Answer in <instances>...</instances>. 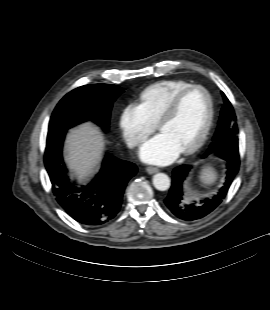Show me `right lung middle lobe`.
Wrapping results in <instances>:
<instances>
[{
  "label": "right lung middle lobe",
  "mask_w": 270,
  "mask_h": 310,
  "mask_svg": "<svg viewBox=\"0 0 270 310\" xmlns=\"http://www.w3.org/2000/svg\"><path fill=\"white\" fill-rule=\"evenodd\" d=\"M123 91L119 86L109 84H91L72 90L53 111L49 130L66 131L91 120L106 131L113 102Z\"/></svg>",
  "instance_id": "dd1d6c3e"
}]
</instances>
